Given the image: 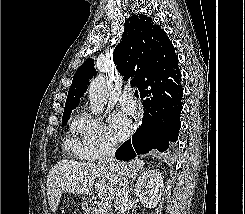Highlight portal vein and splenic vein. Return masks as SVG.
<instances>
[{
    "instance_id": "18ae733b",
    "label": "portal vein and splenic vein",
    "mask_w": 245,
    "mask_h": 214,
    "mask_svg": "<svg viewBox=\"0 0 245 214\" xmlns=\"http://www.w3.org/2000/svg\"><path fill=\"white\" fill-rule=\"evenodd\" d=\"M100 204L103 206V207H109L110 206V204H111V198L110 197H103L102 199H101V202H100Z\"/></svg>"
}]
</instances>
